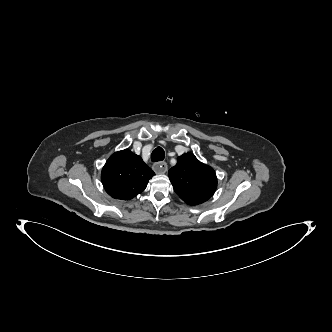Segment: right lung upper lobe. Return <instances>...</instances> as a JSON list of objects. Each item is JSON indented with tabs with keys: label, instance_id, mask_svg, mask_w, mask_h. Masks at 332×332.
<instances>
[{
	"label": "right lung upper lobe",
	"instance_id": "obj_1",
	"mask_svg": "<svg viewBox=\"0 0 332 332\" xmlns=\"http://www.w3.org/2000/svg\"><path fill=\"white\" fill-rule=\"evenodd\" d=\"M154 175L142 158L128 149L115 152L102 169L106 192L115 199L129 200L144 191Z\"/></svg>",
	"mask_w": 332,
	"mask_h": 332
}]
</instances>
